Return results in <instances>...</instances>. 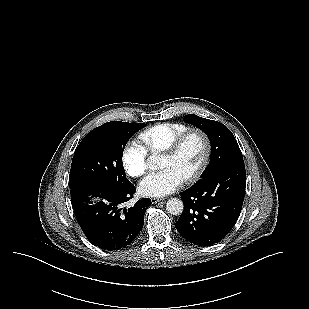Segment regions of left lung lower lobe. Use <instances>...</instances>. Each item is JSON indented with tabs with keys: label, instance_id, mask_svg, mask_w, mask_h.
Returning a JSON list of instances; mask_svg holds the SVG:
<instances>
[{
	"label": "left lung lower lobe",
	"instance_id": "left-lung-lower-lobe-1",
	"mask_svg": "<svg viewBox=\"0 0 309 309\" xmlns=\"http://www.w3.org/2000/svg\"><path fill=\"white\" fill-rule=\"evenodd\" d=\"M245 185L241 163L221 168L181 192L184 211L175 224L180 235L203 247L224 239L240 215Z\"/></svg>",
	"mask_w": 309,
	"mask_h": 309
}]
</instances>
